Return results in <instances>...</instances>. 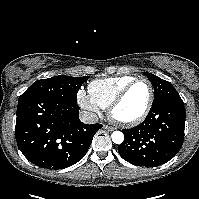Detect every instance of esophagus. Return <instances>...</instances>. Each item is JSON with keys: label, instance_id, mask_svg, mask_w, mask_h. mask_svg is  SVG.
I'll return each mask as SVG.
<instances>
[{"label": "esophagus", "instance_id": "esophagus-1", "mask_svg": "<svg viewBox=\"0 0 199 199\" xmlns=\"http://www.w3.org/2000/svg\"><path fill=\"white\" fill-rule=\"evenodd\" d=\"M103 128L105 129V130H108V131H113L114 130V128L113 127H111V126H108V125H103Z\"/></svg>", "mask_w": 199, "mask_h": 199}]
</instances>
